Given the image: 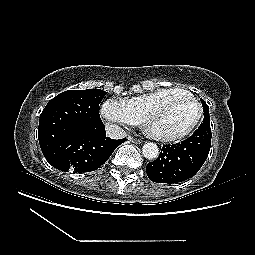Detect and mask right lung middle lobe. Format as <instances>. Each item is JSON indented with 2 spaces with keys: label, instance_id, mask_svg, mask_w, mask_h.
<instances>
[{
  "label": "right lung middle lobe",
  "instance_id": "1",
  "mask_svg": "<svg viewBox=\"0 0 255 255\" xmlns=\"http://www.w3.org/2000/svg\"><path fill=\"white\" fill-rule=\"evenodd\" d=\"M101 89L69 90L51 99L40 115L38 139L42 152L74 129L95 131L102 126L99 104Z\"/></svg>",
  "mask_w": 255,
  "mask_h": 255
}]
</instances>
